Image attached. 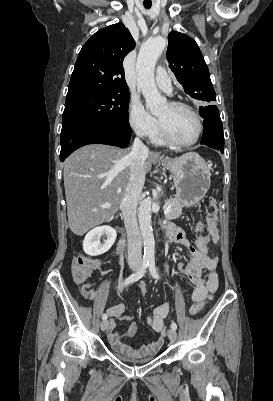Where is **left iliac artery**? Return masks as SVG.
<instances>
[{
	"mask_svg": "<svg viewBox=\"0 0 273 401\" xmlns=\"http://www.w3.org/2000/svg\"><path fill=\"white\" fill-rule=\"evenodd\" d=\"M148 267H149V271H150L151 275L154 278L159 279V274H158V272L156 270V267H155V259H154V257L149 258ZM171 328L176 330L177 329V324L175 322H172Z\"/></svg>",
	"mask_w": 273,
	"mask_h": 401,
	"instance_id": "obj_1",
	"label": "left iliac artery"
}]
</instances>
